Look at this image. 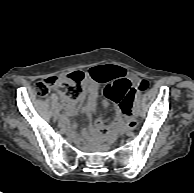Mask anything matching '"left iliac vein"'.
Returning a JSON list of instances; mask_svg holds the SVG:
<instances>
[{"mask_svg":"<svg viewBox=\"0 0 194 193\" xmlns=\"http://www.w3.org/2000/svg\"><path fill=\"white\" fill-rule=\"evenodd\" d=\"M134 114H135L136 117H138L140 115V108L137 105L134 108Z\"/></svg>","mask_w":194,"mask_h":193,"instance_id":"left-iliac-vein-1","label":"left iliac vein"}]
</instances>
